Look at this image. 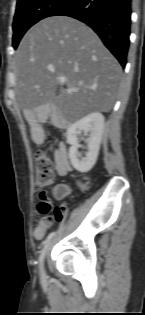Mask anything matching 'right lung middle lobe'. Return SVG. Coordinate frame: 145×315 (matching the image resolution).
Returning <instances> with one entry per match:
<instances>
[{
    "instance_id": "obj_1",
    "label": "right lung middle lobe",
    "mask_w": 145,
    "mask_h": 315,
    "mask_svg": "<svg viewBox=\"0 0 145 315\" xmlns=\"http://www.w3.org/2000/svg\"><path fill=\"white\" fill-rule=\"evenodd\" d=\"M69 0H18L13 21V47L17 48L25 32L38 21L51 16Z\"/></svg>"
}]
</instances>
